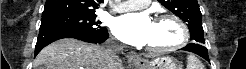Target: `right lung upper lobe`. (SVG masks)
<instances>
[{"label": "right lung upper lobe", "instance_id": "right-lung-upper-lobe-1", "mask_svg": "<svg viewBox=\"0 0 246 69\" xmlns=\"http://www.w3.org/2000/svg\"><path fill=\"white\" fill-rule=\"evenodd\" d=\"M101 0H46L42 17L58 14H93Z\"/></svg>", "mask_w": 246, "mask_h": 69}]
</instances>
